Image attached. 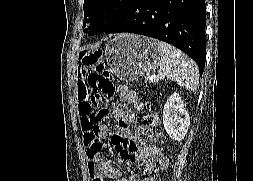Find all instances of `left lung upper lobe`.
<instances>
[{"label": "left lung upper lobe", "mask_w": 253, "mask_h": 181, "mask_svg": "<svg viewBox=\"0 0 253 181\" xmlns=\"http://www.w3.org/2000/svg\"><path fill=\"white\" fill-rule=\"evenodd\" d=\"M132 1L84 0V31L88 35L105 32L123 16Z\"/></svg>", "instance_id": "obj_1"}]
</instances>
